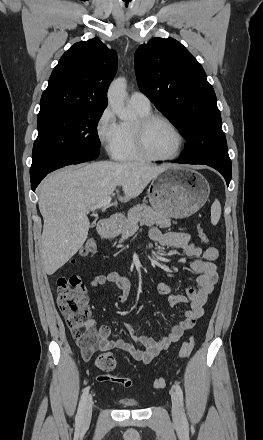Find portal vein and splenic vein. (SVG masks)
Masks as SVG:
<instances>
[{
	"instance_id": "1",
	"label": "portal vein and splenic vein",
	"mask_w": 263,
	"mask_h": 440,
	"mask_svg": "<svg viewBox=\"0 0 263 440\" xmlns=\"http://www.w3.org/2000/svg\"><path fill=\"white\" fill-rule=\"evenodd\" d=\"M111 196H108L106 198H104L102 201H100L99 203L89 207V210L94 211L98 208H108L111 206Z\"/></svg>"
}]
</instances>
